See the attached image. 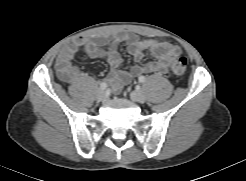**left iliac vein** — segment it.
<instances>
[{"instance_id": "4c4485c4", "label": "left iliac vein", "mask_w": 246, "mask_h": 181, "mask_svg": "<svg viewBox=\"0 0 246 181\" xmlns=\"http://www.w3.org/2000/svg\"><path fill=\"white\" fill-rule=\"evenodd\" d=\"M130 97L133 101L139 102V103H144L146 100V97L142 91H132L130 94Z\"/></svg>"}]
</instances>
